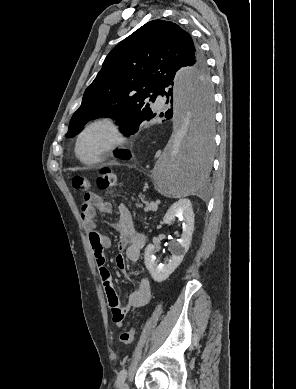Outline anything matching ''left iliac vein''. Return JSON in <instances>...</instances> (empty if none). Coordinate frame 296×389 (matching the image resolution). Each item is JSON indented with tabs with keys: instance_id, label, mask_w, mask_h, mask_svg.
<instances>
[{
	"instance_id": "1",
	"label": "left iliac vein",
	"mask_w": 296,
	"mask_h": 389,
	"mask_svg": "<svg viewBox=\"0 0 296 389\" xmlns=\"http://www.w3.org/2000/svg\"><path fill=\"white\" fill-rule=\"evenodd\" d=\"M119 389H129V386L126 382H121Z\"/></svg>"
}]
</instances>
